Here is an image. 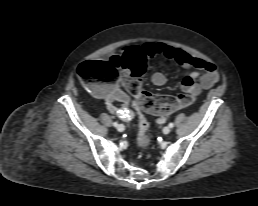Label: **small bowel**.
<instances>
[{"mask_svg":"<svg viewBox=\"0 0 258 206\" xmlns=\"http://www.w3.org/2000/svg\"><path fill=\"white\" fill-rule=\"evenodd\" d=\"M138 53L149 58L161 55L177 62L184 68H193L194 71L182 79L181 89L185 93L194 96L213 86L219 79V73L213 63L192 57L187 52L162 42H149L142 46H129L120 54L111 56L108 61L119 66L122 65L126 58ZM151 81L156 86H162L166 83L167 78L163 73L156 72L152 75ZM99 95L104 98L107 108L112 114L123 119H129L132 116V112L128 109L130 98L119 87H103L100 89ZM116 102L120 103L121 106H116ZM165 120V116H159L157 122L164 123Z\"/></svg>","mask_w":258,"mask_h":206,"instance_id":"obj_1","label":"small bowel"}]
</instances>
